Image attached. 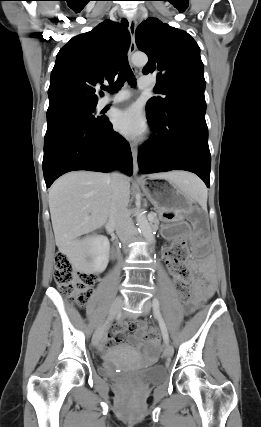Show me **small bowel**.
Wrapping results in <instances>:
<instances>
[{"label":"small bowel","mask_w":261,"mask_h":427,"mask_svg":"<svg viewBox=\"0 0 261 427\" xmlns=\"http://www.w3.org/2000/svg\"><path fill=\"white\" fill-rule=\"evenodd\" d=\"M166 251V250H165ZM166 261L168 263V259L165 255ZM207 285L203 286L201 283H196L194 285V298L193 300L186 305V311L188 313L192 312L198 304L206 299L208 296H210L214 290V282L213 280L208 276L207 278ZM141 328L140 321L138 319H131L127 324L126 323H119L118 326L113 330V332L108 336L107 340L105 341L104 345L106 347H112L116 344H118L121 341V337L128 332L130 334H137ZM158 337L154 339H150L149 342L146 344V353L148 356L155 360L158 355ZM129 345L136 349L140 346L139 342V336L138 335H131L128 338ZM104 345H102L104 347Z\"/></svg>","instance_id":"1"}]
</instances>
